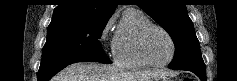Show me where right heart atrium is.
Returning a JSON list of instances; mask_svg holds the SVG:
<instances>
[{
	"label": "right heart atrium",
	"mask_w": 237,
	"mask_h": 81,
	"mask_svg": "<svg viewBox=\"0 0 237 81\" xmlns=\"http://www.w3.org/2000/svg\"><path fill=\"white\" fill-rule=\"evenodd\" d=\"M113 24L114 16H111L106 20L100 31L99 40L105 50H113V40L109 39Z\"/></svg>",
	"instance_id": "1"
}]
</instances>
